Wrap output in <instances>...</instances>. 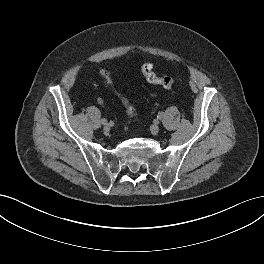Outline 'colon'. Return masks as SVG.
Listing matches in <instances>:
<instances>
[{"mask_svg":"<svg viewBox=\"0 0 264 264\" xmlns=\"http://www.w3.org/2000/svg\"><path fill=\"white\" fill-rule=\"evenodd\" d=\"M141 72L145 79L154 85H159L164 88H172L175 85V80L172 77L169 76H159L155 73L154 67L151 63L145 62L141 66ZM100 76L104 80L105 84L109 87L112 86V77L111 73L107 69H101L100 70ZM122 100L125 104V107L127 109V112L129 115H134L135 110L134 108L130 105L128 100L124 97H122Z\"/></svg>","mask_w":264,"mask_h":264,"instance_id":"obj_1","label":"colon"}]
</instances>
